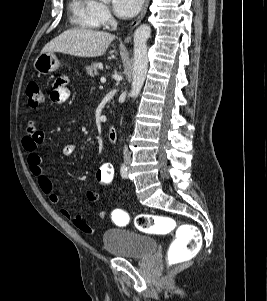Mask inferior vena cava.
<instances>
[{
	"label": "inferior vena cava",
	"instance_id": "obj_1",
	"mask_svg": "<svg viewBox=\"0 0 267 301\" xmlns=\"http://www.w3.org/2000/svg\"><path fill=\"white\" fill-rule=\"evenodd\" d=\"M123 157H124V161L125 162H129V160H130V153H129L128 148H127L126 145L124 146V149H123Z\"/></svg>",
	"mask_w": 267,
	"mask_h": 301
}]
</instances>
